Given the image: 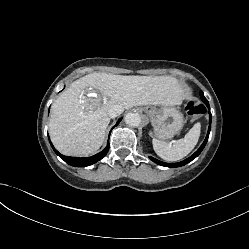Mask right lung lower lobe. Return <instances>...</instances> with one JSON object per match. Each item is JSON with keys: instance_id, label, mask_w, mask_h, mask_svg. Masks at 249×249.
Returning a JSON list of instances; mask_svg holds the SVG:
<instances>
[{"instance_id": "obj_1", "label": "right lung lower lobe", "mask_w": 249, "mask_h": 249, "mask_svg": "<svg viewBox=\"0 0 249 249\" xmlns=\"http://www.w3.org/2000/svg\"><path fill=\"white\" fill-rule=\"evenodd\" d=\"M122 119V118H121ZM121 119H119L116 123L115 126H117L119 124V122L121 121ZM49 137V136H48ZM50 141V140H49ZM50 144L53 148V150L55 151V153L60 156L65 162H67L69 165L75 166V167H85V166H89L92 165L94 163H96L97 161L101 160L103 157L106 156L108 150H109V142L106 146V148L101 151L100 153L91 156V157H86V158H78V157H68V156H64L62 154H60L52 145L51 141Z\"/></svg>"}]
</instances>
